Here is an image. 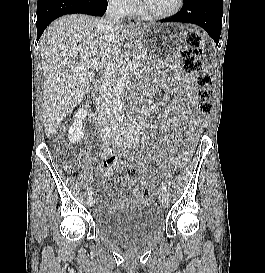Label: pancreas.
Here are the masks:
<instances>
[{
  "instance_id": "cf45deb5",
  "label": "pancreas",
  "mask_w": 265,
  "mask_h": 273,
  "mask_svg": "<svg viewBox=\"0 0 265 273\" xmlns=\"http://www.w3.org/2000/svg\"><path fill=\"white\" fill-rule=\"evenodd\" d=\"M134 55L140 56V60H138L139 63H145L146 61L151 59L147 56V53L141 48H136Z\"/></svg>"
}]
</instances>
